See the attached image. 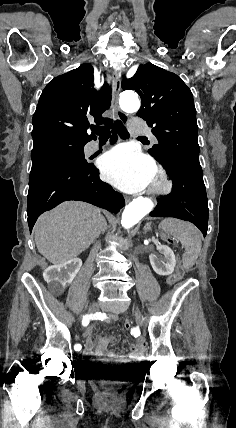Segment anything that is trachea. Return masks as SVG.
Wrapping results in <instances>:
<instances>
[{
    "label": "trachea",
    "instance_id": "obj_1",
    "mask_svg": "<svg viewBox=\"0 0 236 428\" xmlns=\"http://www.w3.org/2000/svg\"><path fill=\"white\" fill-rule=\"evenodd\" d=\"M115 125H116L117 133L121 138H128L129 137V133H128L127 129L124 127L123 123L120 120H117L115 122ZM91 130H92L93 134L99 135V139H101V140H108V138H110L109 126L92 127ZM139 138H143V137H139Z\"/></svg>",
    "mask_w": 236,
    "mask_h": 428
}]
</instances>
